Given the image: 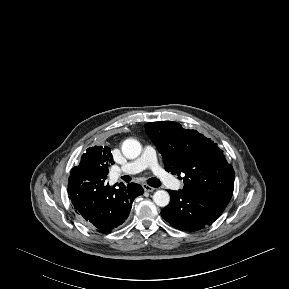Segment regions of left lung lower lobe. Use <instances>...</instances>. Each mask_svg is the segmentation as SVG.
I'll list each match as a JSON object with an SVG mask.
<instances>
[{
    "mask_svg": "<svg viewBox=\"0 0 289 289\" xmlns=\"http://www.w3.org/2000/svg\"><path fill=\"white\" fill-rule=\"evenodd\" d=\"M170 203L161 211L162 217L173 227L197 231L213 223L225 207L191 191L168 190Z\"/></svg>",
    "mask_w": 289,
    "mask_h": 289,
    "instance_id": "0a47b994",
    "label": "left lung lower lobe"
}]
</instances>
